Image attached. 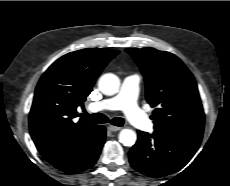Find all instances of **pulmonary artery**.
<instances>
[{"instance_id": "e3ab8cb5", "label": "pulmonary artery", "mask_w": 230, "mask_h": 186, "mask_svg": "<svg viewBox=\"0 0 230 186\" xmlns=\"http://www.w3.org/2000/svg\"><path fill=\"white\" fill-rule=\"evenodd\" d=\"M139 75L126 77L117 95L98 102L91 103L89 109L94 112L104 110L124 111L128 120L138 129L152 131L153 123L150 118L138 107L137 94L140 84Z\"/></svg>"}]
</instances>
